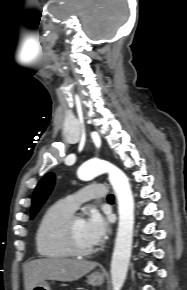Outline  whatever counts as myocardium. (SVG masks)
I'll use <instances>...</instances> for the list:
<instances>
[{"mask_svg":"<svg viewBox=\"0 0 187 290\" xmlns=\"http://www.w3.org/2000/svg\"><path fill=\"white\" fill-rule=\"evenodd\" d=\"M81 216L72 213L61 224L60 232L64 245L73 256L85 257L96 252L97 247L83 248L81 247L74 233V222Z\"/></svg>","mask_w":187,"mask_h":290,"instance_id":"f54148a6","label":"myocardium"}]
</instances>
